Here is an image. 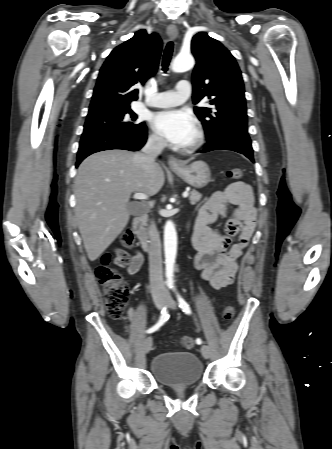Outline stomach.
I'll return each instance as SVG.
<instances>
[{
	"instance_id": "stomach-1",
	"label": "stomach",
	"mask_w": 332,
	"mask_h": 449,
	"mask_svg": "<svg viewBox=\"0 0 332 449\" xmlns=\"http://www.w3.org/2000/svg\"><path fill=\"white\" fill-rule=\"evenodd\" d=\"M172 171L195 188L205 187L211 178L210 169L203 161H195L190 165H184L180 169H172Z\"/></svg>"
}]
</instances>
